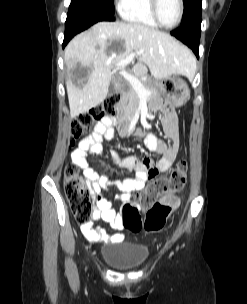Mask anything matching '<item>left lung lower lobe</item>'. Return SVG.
<instances>
[{
	"mask_svg": "<svg viewBox=\"0 0 247 304\" xmlns=\"http://www.w3.org/2000/svg\"><path fill=\"white\" fill-rule=\"evenodd\" d=\"M201 34V18L194 19L178 29L171 32V35L181 40L184 44L189 46L197 58H199V40Z\"/></svg>",
	"mask_w": 247,
	"mask_h": 304,
	"instance_id": "0a47b994",
	"label": "left lung lower lobe"
}]
</instances>
